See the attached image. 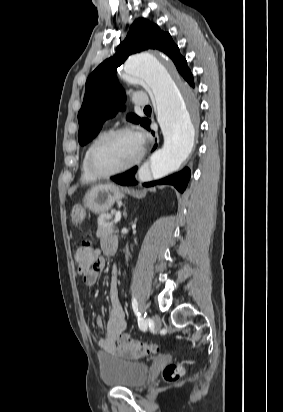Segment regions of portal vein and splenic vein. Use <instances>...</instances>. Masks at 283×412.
<instances>
[{
    "instance_id": "1",
    "label": "portal vein and splenic vein",
    "mask_w": 283,
    "mask_h": 412,
    "mask_svg": "<svg viewBox=\"0 0 283 412\" xmlns=\"http://www.w3.org/2000/svg\"><path fill=\"white\" fill-rule=\"evenodd\" d=\"M120 219H121V213L117 212L115 214L114 223H118L120 221Z\"/></svg>"
}]
</instances>
